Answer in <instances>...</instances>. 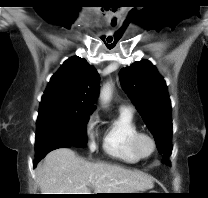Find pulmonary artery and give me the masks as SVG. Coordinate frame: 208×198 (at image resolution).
Masks as SVG:
<instances>
[{"instance_id":"pulmonary-artery-1","label":"pulmonary artery","mask_w":208,"mask_h":198,"mask_svg":"<svg viewBox=\"0 0 208 198\" xmlns=\"http://www.w3.org/2000/svg\"><path fill=\"white\" fill-rule=\"evenodd\" d=\"M120 109L125 110V111H129L132 113V107L129 105H122Z\"/></svg>"}]
</instances>
